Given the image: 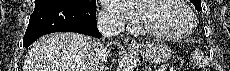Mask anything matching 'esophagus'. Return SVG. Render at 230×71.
<instances>
[{
    "mask_svg": "<svg viewBox=\"0 0 230 71\" xmlns=\"http://www.w3.org/2000/svg\"><path fill=\"white\" fill-rule=\"evenodd\" d=\"M123 42L127 47H130V48H139L140 47V45L136 42V40L131 38V37H125Z\"/></svg>",
    "mask_w": 230,
    "mask_h": 71,
    "instance_id": "34e87169",
    "label": "esophagus"
}]
</instances>
